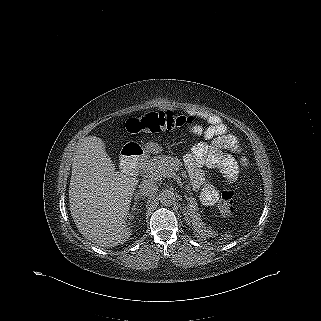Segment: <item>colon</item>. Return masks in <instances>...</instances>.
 Returning a JSON list of instances; mask_svg holds the SVG:
<instances>
[{
	"label": "colon",
	"mask_w": 321,
	"mask_h": 321,
	"mask_svg": "<svg viewBox=\"0 0 321 321\" xmlns=\"http://www.w3.org/2000/svg\"><path fill=\"white\" fill-rule=\"evenodd\" d=\"M197 119L173 112H152L145 116L129 119L126 123L128 132L136 134L140 132L157 133L166 129H173L185 124H195ZM235 192L232 188H225L221 193L219 202L223 217H229L234 212Z\"/></svg>",
	"instance_id": "5ec220e1"
}]
</instances>
